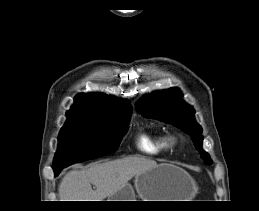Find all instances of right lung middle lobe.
I'll return each instance as SVG.
<instances>
[{
    "label": "right lung middle lobe",
    "mask_w": 259,
    "mask_h": 211,
    "mask_svg": "<svg viewBox=\"0 0 259 211\" xmlns=\"http://www.w3.org/2000/svg\"><path fill=\"white\" fill-rule=\"evenodd\" d=\"M131 114L95 116L83 113L67 115L59 133L53 169L60 172L76 162L113 153L124 135Z\"/></svg>",
    "instance_id": "dd1d6c3e"
}]
</instances>
